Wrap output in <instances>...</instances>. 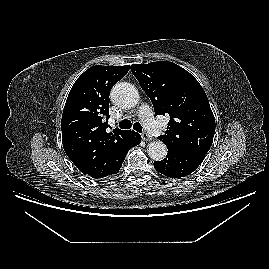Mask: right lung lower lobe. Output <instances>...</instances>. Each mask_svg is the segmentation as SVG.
<instances>
[{"label":"right lung lower lobe","mask_w":269,"mask_h":269,"mask_svg":"<svg viewBox=\"0 0 269 269\" xmlns=\"http://www.w3.org/2000/svg\"><path fill=\"white\" fill-rule=\"evenodd\" d=\"M141 142V136L137 132L128 130L125 135V139L123 140L122 147H121V163L118 166L115 174L119 172V169L124 161L126 154L128 153L129 149L138 145Z\"/></svg>","instance_id":"98d812e1"}]
</instances>
